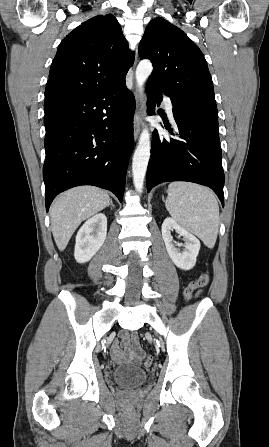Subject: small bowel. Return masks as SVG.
<instances>
[{
  "label": "small bowel",
  "mask_w": 269,
  "mask_h": 447,
  "mask_svg": "<svg viewBox=\"0 0 269 447\" xmlns=\"http://www.w3.org/2000/svg\"><path fill=\"white\" fill-rule=\"evenodd\" d=\"M139 334L136 331L128 333L122 330L119 333L121 345L113 344L111 348V358L115 363L122 364L126 362L140 363L145 352L141 349L138 342Z\"/></svg>",
  "instance_id": "1"
}]
</instances>
